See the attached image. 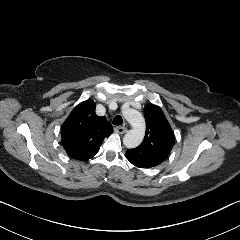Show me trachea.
<instances>
[{
  "mask_svg": "<svg viewBox=\"0 0 240 240\" xmlns=\"http://www.w3.org/2000/svg\"><path fill=\"white\" fill-rule=\"evenodd\" d=\"M114 125L119 126L123 124V118L120 115L114 117L113 122Z\"/></svg>",
  "mask_w": 240,
  "mask_h": 240,
  "instance_id": "obj_1",
  "label": "trachea"
}]
</instances>
